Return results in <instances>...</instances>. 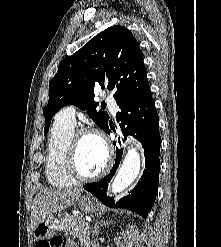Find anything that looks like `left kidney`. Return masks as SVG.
I'll return each mask as SVG.
<instances>
[{"label":"left kidney","instance_id":"5707ae66","mask_svg":"<svg viewBox=\"0 0 221 247\" xmlns=\"http://www.w3.org/2000/svg\"><path fill=\"white\" fill-rule=\"evenodd\" d=\"M138 229H134L131 226L130 231H126L122 237L115 238L117 247H132L138 237Z\"/></svg>","mask_w":221,"mask_h":247}]
</instances>
